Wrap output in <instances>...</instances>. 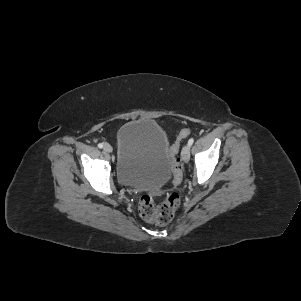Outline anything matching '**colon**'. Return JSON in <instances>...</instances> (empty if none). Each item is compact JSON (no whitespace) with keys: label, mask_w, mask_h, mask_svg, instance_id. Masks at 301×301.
<instances>
[{"label":"colon","mask_w":301,"mask_h":301,"mask_svg":"<svg viewBox=\"0 0 301 301\" xmlns=\"http://www.w3.org/2000/svg\"><path fill=\"white\" fill-rule=\"evenodd\" d=\"M190 133V129H182L169 150L171 157V168L176 183H179L182 179V165L177 156L180 149V143L183 139L187 138ZM179 203L180 195L177 191L169 192L164 201L158 205L154 204L153 198L150 195H143L139 200V214L148 222H152L157 225H166L172 221Z\"/></svg>","instance_id":"5ec220e1"}]
</instances>
